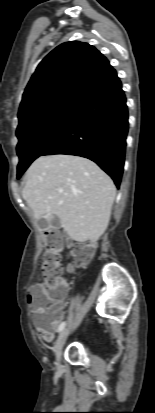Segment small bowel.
Returning a JSON list of instances; mask_svg holds the SVG:
<instances>
[{
    "instance_id": "small-bowel-1",
    "label": "small bowel",
    "mask_w": 155,
    "mask_h": 413,
    "mask_svg": "<svg viewBox=\"0 0 155 413\" xmlns=\"http://www.w3.org/2000/svg\"><path fill=\"white\" fill-rule=\"evenodd\" d=\"M40 292H46V289H44L42 285L36 284L32 286L28 295V303L31 306V312L34 317V325L37 333L41 336L42 339L50 343L54 340L55 333L64 318V303L58 302L55 305V310L53 312L47 313L48 315L46 322L42 323L40 314L34 309L35 298Z\"/></svg>"
}]
</instances>
